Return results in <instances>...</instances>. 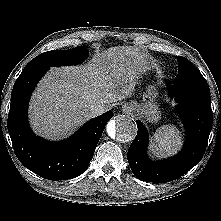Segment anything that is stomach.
<instances>
[{
  "instance_id": "stomach-1",
  "label": "stomach",
  "mask_w": 221,
  "mask_h": 221,
  "mask_svg": "<svg viewBox=\"0 0 221 221\" xmlns=\"http://www.w3.org/2000/svg\"><path fill=\"white\" fill-rule=\"evenodd\" d=\"M157 95L155 87L150 86L148 92L144 95V103L138 104L137 102H131L125 105V108L130 107V110H128L129 113L140 115L148 122H157L160 119V111L155 102Z\"/></svg>"
}]
</instances>
